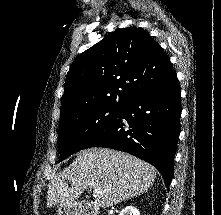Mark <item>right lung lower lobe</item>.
<instances>
[{
	"mask_svg": "<svg viewBox=\"0 0 221 215\" xmlns=\"http://www.w3.org/2000/svg\"><path fill=\"white\" fill-rule=\"evenodd\" d=\"M180 100L173 70L162 82L120 107L114 122L83 141L77 151L106 147L130 153L155 166L168 188L180 134Z\"/></svg>",
	"mask_w": 221,
	"mask_h": 215,
	"instance_id": "98d812e1",
	"label": "right lung lower lobe"
}]
</instances>
